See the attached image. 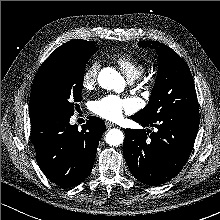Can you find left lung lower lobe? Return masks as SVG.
Here are the masks:
<instances>
[{
	"mask_svg": "<svg viewBox=\"0 0 220 220\" xmlns=\"http://www.w3.org/2000/svg\"><path fill=\"white\" fill-rule=\"evenodd\" d=\"M131 119L147 129H126L124 156L133 176L150 186L163 184L175 177L183 168L192 151L199 115L170 113L154 120L136 115ZM150 133V134H149Z\"/></svg>",
	"mask_w": 220,
	"mask_h": 220,
	"instance_id": "1",
	"label": "left lung lower lobe"
}]
</instances>
